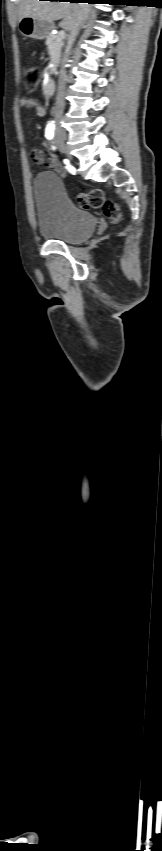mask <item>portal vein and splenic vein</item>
<instances>
[{"mask_svg": "<svg viewBox=\"0 0 162 851\" xmlns=\"http://www.w3.org/2000/svg\"><path fill=\"white\" fill-rule=\"evenodd\" d=\"M59 35H60V38H61V39H63V38L65 37V35H66L65 30H62V31L59 33Z\"/></svg>", "mask_w": 162, "mask_h": 851, "instance_id": "portal-vein-and-splenic-vein-1", "label": "portal vein and splenic vein"}]
</instances>
